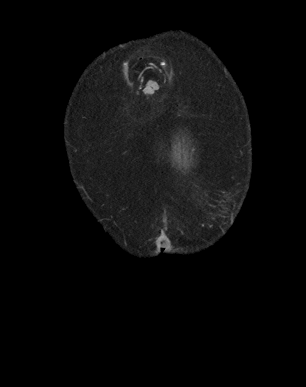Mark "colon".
<instances>
[{
	"label": "colon",
	"instance_id": "5ec220e1",
	"mask_svg": "<svg viewBox=\"0 0 306 387\" xmlns=\"http://www.w3.org/2000/svg\"><path fill=\"white\" fill-rule=\"evenodd\" d=\"M159 90V84L155 81H150L146 84L144 91L147 95H153Z\"/></svg>",
	"mask_w": 306,
	"mask_h": 387
}]
</instances>
